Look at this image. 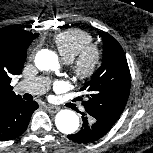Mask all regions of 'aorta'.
I'll use <instances>...</instances> for the list:
<instances>
[{
	"instance_id": "aorta-1",
	"label": "aorta",
	"mask_w": 153,
	"mask_h": 153,
	"mask_svg": "<svg viewBox=\"0 0 153 153\" xmlns=\"http://www.w3.org/2000/svg\"><path fill=\"white\" fill-rule=\"evenodd\" d=\"M35 65L39 70H55L58 68V56L51 50L43 49L37 53ZM79 124V117L72 110L64 109L56 114L55 125L61 133H74Z\"/></svg>"
}]
</instances>
